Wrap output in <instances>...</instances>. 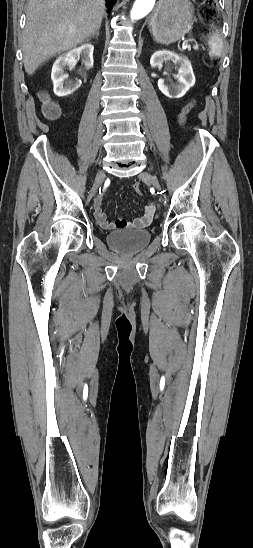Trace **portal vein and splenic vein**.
<instances>
[{
    "instance_id": "portal-vein-and-splenic-vein-1",
    "label": "portal vein and splenic vein",
    "mask_w": 253,
    "mask_h": 548,
    "mask_svg": "<svg viewBox=\"0 0 253 548\" xmlns=\"http://www.w3.org/2000/svg\"><path fill=\"white\" fill-rule=\"evenodd\" d=\"M186 46H187L188 48H190V46H189L188 44H186ZM192 48L195 49V50H198V49H199V46H198V45H193Z\"/></svg>"
}]
</instances>
